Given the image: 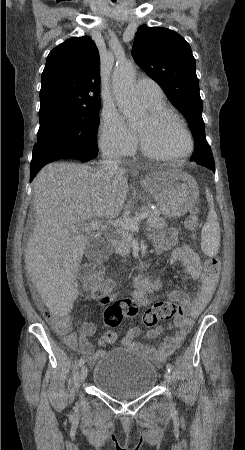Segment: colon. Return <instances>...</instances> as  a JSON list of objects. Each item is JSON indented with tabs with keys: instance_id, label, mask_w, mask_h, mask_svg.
Wrapping results in <instances>:
<instances>
[{
	"instance_id": "colon-1",
	"label": "colon",
	"mask_w": 245,
	"mask_h": 450,
	"mask_svg": "<svg viewBox=\"0 0 245 450\" xmlns=\"http://www.w3.org/2000/svg\"><path fill=\"white\" fill-rule=\"evenodd\" d=\"M189 231L195 232L198 228V219L192 214L186 221ZM205 269L209 274L215 275L219 272L220 262L217 258H208L205 262ZM104 267L100 262L91 261L84 264L80 271V279L86 287H97L101 284L100 275ZM137 313V308L131 300H116L109 302L104 312V324L107 328L119 326L125 317L133 318ZM45 320L58 331L64 332L71 326L69 314L44 312ZM184 312L182 307L171 301H162L148 308L142 315V324L147 328H154L159 322L176 320L182 321ZM108 343L115 341L116 335L113 331L107 330L104 334Z\"/></svg>"
}]
</instances>
